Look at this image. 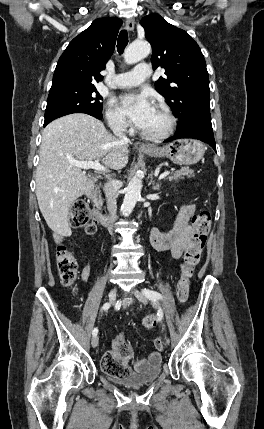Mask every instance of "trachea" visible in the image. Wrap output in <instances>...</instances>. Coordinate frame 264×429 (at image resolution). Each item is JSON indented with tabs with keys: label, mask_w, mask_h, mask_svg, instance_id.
I'll return each mask as SVG.
<instances>
[{
	"label": "trachea",
	"mask_w": 264,
	"mask_h": 429,
	"mask_svg": "<svg viewBox=\"0 0 264 429\" xmlns=\"http://www.w3.org/2000/svg\"><path fill=\"white\" fill-rule=\"evenodd\" d=\"M128 44V33L126 30H121L117 39V51L122 54Z\"/></svg>",
	"instance_id": "3493384b"
}]
</instances>
